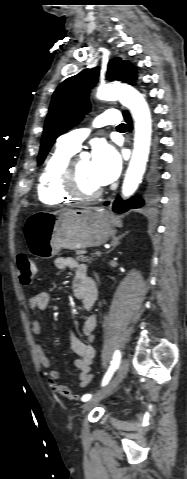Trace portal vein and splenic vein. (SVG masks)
<instances>
[{"instance_id":"portal-vein-and-splenic-vein-1","label":"portal vein and splenic vein","mask_w":187,"mask_h":479,"mask_svg":"<svg viewBox=\"0 0 187 479\" xmlns=\"http://www.w3.org/2000/svg\"><path fill=\"white\" fill-rule=\"evenodd\" d=\"M101 254H102V253H101L100 251H96V252H95V255H96V256H101Z\"/></svg>"}]
</instances>
